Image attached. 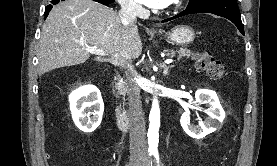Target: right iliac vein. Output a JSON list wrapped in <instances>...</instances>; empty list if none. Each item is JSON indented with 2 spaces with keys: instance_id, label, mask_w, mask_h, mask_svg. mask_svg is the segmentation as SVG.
<instances>
[{
  "instance_id": "obj_1",
  "label": "right iliac vein",
  "mask_w": 277,
  "mask_h": 166,
  "mask_svg": "<svg viewBox=\"0 0 277 166\" xmlns=\"http://www.w3.org/2000/svg\"><path fill=\"white\" fill-rule=\"evenodd\" d=\"M128 166H143L140 162H130Z\"/></svg>"
}]
</instances>
